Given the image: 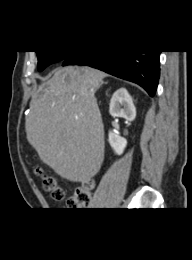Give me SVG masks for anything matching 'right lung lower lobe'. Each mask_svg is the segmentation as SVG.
Instances as JSON below:
<instances>
[{
	"mask_svg": "<svg viewBox=\"0 0 192 260\" xmlns=\"http://www.w3.org/2000/svg\"><path fill=\"white\" fill-rule=\"evenodd\" d=\"M159 55L160 51H79L69 54L62 65H87L100 69L135 82L154 96L160 75Z\"/></svg>",
	"mask_w": 192,
	"mask_h": 260,
	"instance_id": "obj_1",
	"label": "right lung lower lobe"
}]
</instances>
